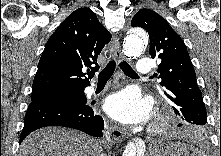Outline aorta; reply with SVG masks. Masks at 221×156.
<instances>
[{
  "instance_id": "1",
  "label": "aorta",
  "mask_w": 221,
  "mask_h": 156,
  "mask_svg": "<svg viewBox=\"0 0 221 156\" xmlns=\"http://www.w3.org/2000/svg\"><path fill=\"white\" fill-rule=\"evenodd\" d=\"M148 42V37L145 31L139 28L130 29L123 43V52L125 56L135 58L144 50ZM145 146L143 143L129 142L122 156H143Z\"/></svg>"
}]
</instances>
